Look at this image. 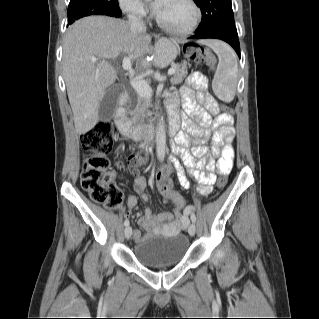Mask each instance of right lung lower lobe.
Listing matches in <instances>:
<instances>
[{
    "mask_svg": "<svg viewBox=\"0 0 319 319\" xmlns=\"http://www.w3.org/2000/svg\"><path fill=\"white\" fill-rule=\"evenodd\" d=\"M122 14L121 10H119V12H115L113 14H109L108 16H112V17H120Z\"/></svg>",
    "mask_w": 319,
    "mask_h": 319,
    "instance_id": "1",
    "label": "right lung lower lobe"
}]
</instances>
